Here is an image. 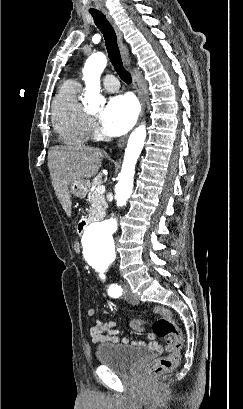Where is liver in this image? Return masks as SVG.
<instances>
[{"mask_svg":"<svg viewBox=\"0 0 243 409\" xmlns=\"http://www.w3.org/2000/svg\"><path fill=\"white\" fill-rule=\"evenodd\" d=\"M105 152L90 146H54L48 152V168L55 193L67 216L71 215L69 186L74 181L88 184L101 167Z\"/></svg>","mask_w":243,"mask_h":409,"instance_id":"obj_1","label":"liver"}]
</instances>
